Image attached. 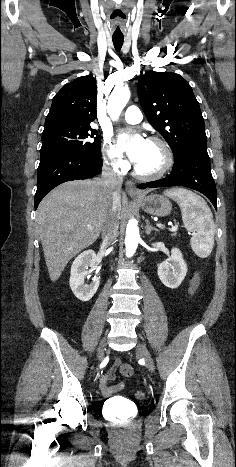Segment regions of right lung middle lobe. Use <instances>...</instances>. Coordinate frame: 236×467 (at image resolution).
<instances>
[{
    "instance_id": "obj_1",
    "label": "right lung middle lobe",
    "mask_w": 236,
    "mask_h": 467,
    "mask_svg": "<svg viewBox=\"0 0 236 467\" xmlns=\"http://www.w3.org/2000/svg\"><path fill=\"white\" fill-rule=\"evenodd\" d=\"M59 150L101 158V138L90 125H58L44 128L40 156Z\"/></svg>"
}]
</instances>
